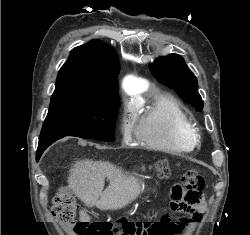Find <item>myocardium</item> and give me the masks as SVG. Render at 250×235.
Instances as JSON below:
<instances>
[{"label":"myocardium","instance_id":"myocardium-1","mask_svg":"<svg viewBox=\"0 0 250 235\" xmlns=\"http://www.w3.org/2000/svg\"><path fill=\"white\" fill-rule=\"evenodd\" d=\"M192 136H193V138L196 140V138H197V134H196L195 129H193V130H192Z\"/></svg>","mask_w":250,"mask_h":235}]
</instances>
